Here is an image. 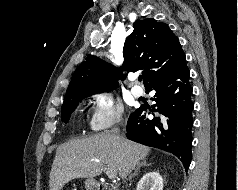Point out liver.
I'll return each mask as SVG.
<instances>
[{"mask_svg":"<svg viewBox=\"0 0 238 190\" xmlns=\"http://www.w3.org/2000/svg\"><path fill=\"white\" fill-rule=\"evenodd\" d=\"M149 152V147L114 133L72 139L56 150L50 172V190H61L73 179H93L105 167L125 179Z\"/></svg>","mask_w":238,"mask_h":190,"instance_id":"obj_1","label":"liver"}]
</instances>
